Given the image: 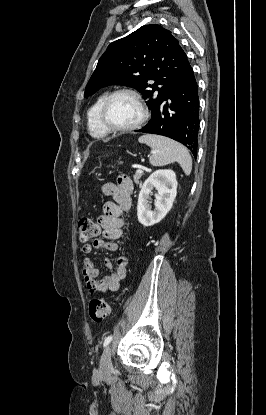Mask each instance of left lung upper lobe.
Returning <instances> with one entry per match:
<instances>
[{"label":"left lung upper lobe","instance_id":"left-lung-upper-lobe-1","mask_svg":"<svg viewBox=\"0 0 266 415\" xmlns=\"http://www.w3.org/2000/svg\"><path fill=\"white\" fill-rule=\"evenodd\" d=\"M187 63L186 53L169 30L157 24L144 25L108 46L84 97L109 85L129 86L143 95L153 116Z\"/></svg>","mask_w":266,"mask_h":415}]
</instances>
